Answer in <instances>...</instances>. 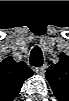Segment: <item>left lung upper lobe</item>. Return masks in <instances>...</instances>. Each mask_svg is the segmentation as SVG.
<instances>
[{
	"label": "left lung upper lobe",
	"instance_id": "5c2ea615",
	"mask_svg": "<svg viewBox=\"0 0 69 101\" xmlns=\"http://www.w3.org/2000/svg\"><path fill=\"white\" fill-rule=\"evenodd\" d=\"M49 84L57 96L58 92L63 90L69 82V59L63 53L60 54V61L52 64L45 73Z\"/></svg>",
	"mask_w": 69,
	"mask_h": 101
}]
</instances>
